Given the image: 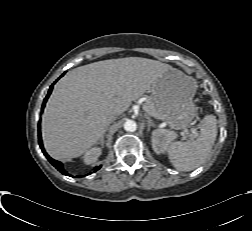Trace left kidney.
<instances>
[{"label":"left kidney","instance_id":"obj_1","mask_svg":"<svg viewBox=\"0 0 252 231\" xmlns=\"http://www.w3.org/2000/svg\"><path fill=\"white\" fill-rule=\"evenodd\" d=\"M175 138V134L165 129H156L152 133V148L155 153L161 154L166 151L168 143Z\"/></svg>","mask_w":252,"mask_h":231}]
</instances>
